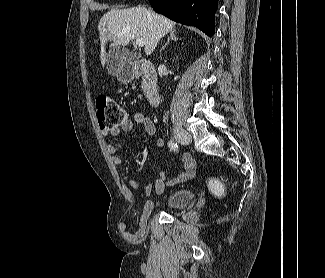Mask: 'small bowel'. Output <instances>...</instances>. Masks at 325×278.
<instances>
[{"instance_id": "obj_1", "label": "small bowel", "mask_w": 325, "mask_h": 278, "mask_svg": "<svg viewBox=\"0 0 325 278\" xmlns=\"http://www.w3.org/2000/svg\"><path fill=\"white\" fill-rule=\"evenodd\" d=\"M135 124L143 125L147 135L150 137L154 136V134L156 132V126H155L153 119L150 116H148L147 114L141 113V112L136 113L134 115L133 119H127L118 128H115V129H112L109 131H106V130L102 131V134L104 136L117 137L121 133L131 132L133 130ZM156 145L158 148L162 149L165 145V142L163 139H158L156 141ZM107 151L111 155L112 162L114 164H116V165L121 164L122 160H121V157L119 156V147L116 144H113V143L108 144ZM182 164H183L184 171L169 181H167L165 174L161 173L159 175V177L157 178V180L153 184H150L147 186H142L135 179H132L130 183L134 188H137V189L143 191L144 193H149L154 189L157 194H162L164 192L166 186H173V185L185 182L194 176L195 164L189 154L183 155ZM150 206L151 205H149V207ZM123 230H125L124 227H123Z\"/></svg>"}]
</instances>
